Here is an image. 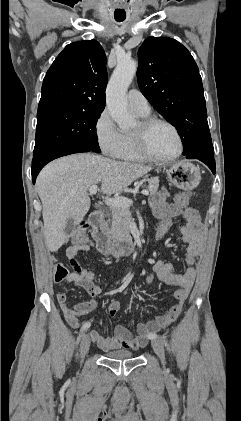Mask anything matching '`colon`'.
<instances>
[{
	"label": "colon",
	"mask_w": 241,
	"mask_h": 421,
	"mask_svg": "<svg viewBox=\"0 0 241 421\" xmlns=\"http://www.w3.org/2000/svg\"><path fill=\"white\" fill-rule=\"evenodd\" d=\"M191 199V194L186 193H179L176 194L174 197V204L185 207L189 204ZM172 227V219L166 217L161 219L159 225L156 228L154 239L156 242L162 241L169 233ZM89 225L87 222H81L78 227L73 231L71 235L72 242L75 245H83L88 243L87 231ZM71 265L73 269L78 272L80 270L79 265L74 261L71 260ZM70 273L68 268L62 263H56L55 265V281L60 282L69 277ZM153 274H148L145 277L146 283H151L153 281Z\"/></svg>",
	"instance_id": "5ec220e1"
}]
</instances>
